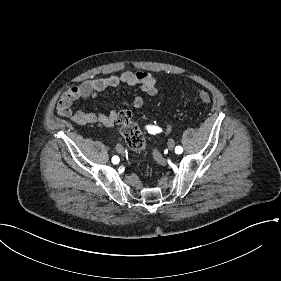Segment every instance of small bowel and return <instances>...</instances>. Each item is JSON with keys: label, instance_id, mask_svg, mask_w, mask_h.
<instances>
[{"label": "small bowel", "instance_id": "obj_1", "mask_svg": "<svg viewBox=\"0 0 281 281\" xmlns=\"http://www.w3.org/2000/svg\"><path fill=\"white\" fill-rule=\"evenodd\" d=\"M139 86L141 91L147 95L154 96L157 91L154 76L145 71L125 70L121 74L111 75L106 78L89 79L72 86L61 95L57 104V112L60 116L70 119L78 125L101 123L105 126H112L117 122L120 113L129 112V107L139 109L143 106L142 97L137 96L131 104H125L122 109H112L108 113L86 112L74 110L73 103L79 99L96 97L100 92L115 88L120 84Z\"/></svg>", "mask_w": 281, "mask_h": 281}]
</instances>
